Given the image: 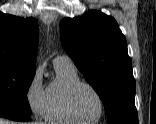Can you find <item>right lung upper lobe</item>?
I'll use <instances>...</instances> for the list:
<instances>
[{
	"mask_svg": "<svg viewBox=\"0 0 156 124\" xmlns=\"http://www.w3.org/2000/svg\"><path fill=\"white\" fill-rule=\"evenodd\" d=\"M38 23L0 12V65L35 70Z\"/></svg>",
	"mask_w": 156,
	"mask_h": 124,
	"instance_id": "obj_1",
	"label": "right lung upper lobe"
}]
</instances>
